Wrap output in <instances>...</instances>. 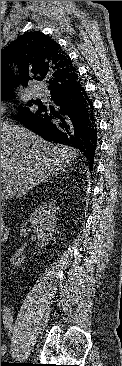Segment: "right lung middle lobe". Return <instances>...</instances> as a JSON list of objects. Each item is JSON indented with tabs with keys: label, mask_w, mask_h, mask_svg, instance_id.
Here are the masks:
<instances>
[{
	"label": "right lung middle lobe",
	"mask_w": 122,
	"mask_h": 366,
	"mask_svg": "<svg viewBox=\"0 0 122 366\" xmlns=\"http://www.w3.org/2000/svg\"><path fill=\"white\" fill-rule=\"evenodd\" d=\"M8 96V92L7 91H3L2 94H1V98H6ZM32 103H35V104H39L40 101H33ZM30 105V104H29ZM33 113L30 112L29 110H23L21 112V115L22 116H29V115H32Z\"/></svg>",
	"instance_id": "obj_1"
}]
</instances>
